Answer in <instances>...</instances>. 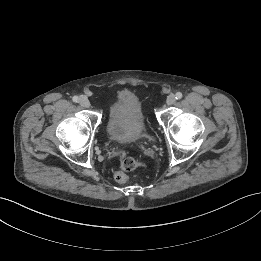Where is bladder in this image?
Masks as SVG:
<instances>
[{"label":"bladder","instance_id":"1","mask_svg":"<svg viewBox=\"0 0 261 261\" xmlns=\"http://www.w3.org/2000/svg\"><path fill=\"white\" fill-rule=\"evenodd\" d=\"M107 131L119 142H135L144 137L145 118L138 97L130 91H121L109 108Z\"/></svg>","mask_w":261,"mask_h":261}]
</instances>
